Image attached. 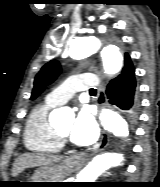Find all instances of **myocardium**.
Instances as JSON below:
<instances>
[{
	"label": "myocardium",
	"mask_w": 160,
	"mask_h": 187,
	"mask_svg": "<svg viewBox=\"0 0 160 187\" xmlns=\"http://www.w3.org/2000/svg\"><path fill=\"white\" fill-rule=\"evenodd\" d=\"M56 133H57L58 137L60 138L62 144L67 145L69 148H71V145L68 141V137L66 135L62 134L59 130H56Z\"/></svg>",
	"instance_id": "myocardium-1"
}]
</instances>
